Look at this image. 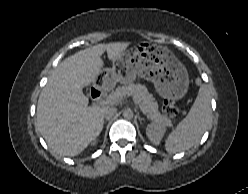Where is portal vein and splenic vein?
Returning <instances> with one entry per match:
<instances>
[{"label": "portal vein and splenic vein", "instance_id": "obj_1", "mask_svg": "<svg viewBox=\"0 0 248 194\" xmlns=\"http://www.w3.org/2000/svg\"><path fill=\"white\" fill-rule=\"evenodd\" d=\"M118 99L112 96H109L108 98H106V100H103L100 102V104H107V103H111V102H117ZM134 102L136 103V101L134 100Z\"/></svg>", "mask_w": 248, "mask_h": 194}]
</instances>
